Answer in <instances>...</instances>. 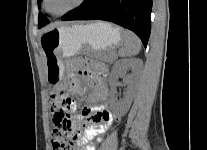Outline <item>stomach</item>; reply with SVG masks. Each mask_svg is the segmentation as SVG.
<instances>
[{
	"label": "stomach",
	"instance_id": "0dacf381",
	"mask_svg": "<svg viewBox=\"0 0 207 150\" xmlns=\"http://www.w3.org/2000/svg\"><path fill=\"white\" fill-rule=\"evenodd\" d=\"M121 41V29L104 21L61 24L45 31L40 45L49 82L59 86L65 76L64 60L74 58L84 47L90 54L99 56L113 52Z\"/></svg>",
	"mask_w": 207,
	"mask_h": 150
}]
</instances>
